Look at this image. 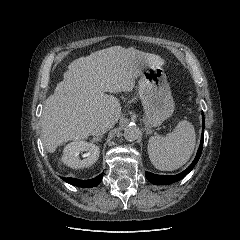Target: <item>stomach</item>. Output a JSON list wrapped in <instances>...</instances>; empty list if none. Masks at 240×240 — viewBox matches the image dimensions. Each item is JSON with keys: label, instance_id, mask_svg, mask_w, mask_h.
I'll use <instances>...</instances> for the list:
<instances>
[{"label": "stomach", "instance_id": "0dacf381", "mask_svg": "<svg viewBox=\"0 0 240 240\" xmlns=\"http://www.w3.org/2000/svg\"><path fill=\"white\" fill-rule=\"evenodd\" d=\"M139 96L148 126L157 127L174 112L169 83L161 66L144 65L139 80Z\"/></svg>", "mask_w": 240, "mask_h": 240}]
</instances>
